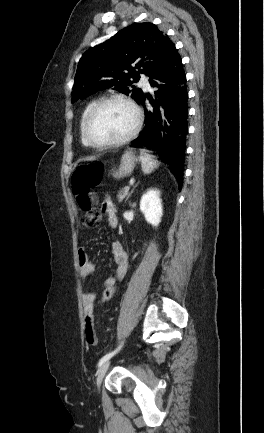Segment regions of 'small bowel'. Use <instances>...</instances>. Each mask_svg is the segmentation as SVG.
<instances>
[{
    "label": "small bowel",
    "instance_id": "small-bowel-1",
    "mask_svg": "<svg viewBox=\"0 0 264 433\" xmlns=\"http://www.w3.org/2000/svg\"><path fill=\"white\" fill-rule=\"evenodd\" d=\"M102 211L108 215L110 226L118 225L117 210L110 200H105L102 203ZM112 258L116 266L115 277H110L105 280V285H113L117 280L125 277L129 268V257L120 241L115 240L112 244ZM78 264L80 274L83 278H87L95 270L94 264L90 261L84 249H80L78 253ZM97 298V292L89 287H85L82 293L84 307V335L87 344L94 346L97 343V336L94 329V302Z\"/></svg>",
    "mask_w": 264,
    "mask_h": 433
}]
</instances>
